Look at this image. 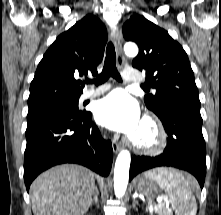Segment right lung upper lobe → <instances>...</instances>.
Segmentation results:
<instances>
[{"mask_svg":"<svg viewBox=\"0 0 221 215\" xmlns=\"http://www.w3.org/2000/svg\"><path fill=\"white\" fill-rule=\"evenodd\" d=\"M106 41L105 25L93 15L59 35L37 67L28 107L79 99L84 84L78 77L97 74Z\"/></svg>","mask_w":221,"mask_h":215,"instance_id":"right-lung-upper-lobe-1","label":"right lung upper lobe"}]
</instances>
